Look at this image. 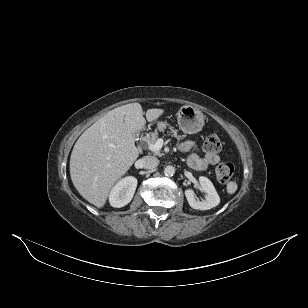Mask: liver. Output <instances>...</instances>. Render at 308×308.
I'll return each instance as SVG.
<instances>
[{
	"label": "liver",
	"instance_id": "6515ba94",
	"mask_svg": "<svg viewBox=\"0 0 308 308\" xmlns=\"http://www.w3.org/2000/svg\"><path fill=\"white\" fill-rule=\"evenodd\" d=\"M163 109H148V122L163 115ZM146 124L142 106L117 107L97 120L76 141L70 157V176L79 194L101 208L114 185L139 156L133 134Z\"/></svg>",
	"mask_w": 308,
	"mask_h": 308
}]
</instances>
